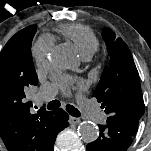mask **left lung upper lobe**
I'll return each mask as SVG.
<instances>
[{
    "mask_svg": "<svg viewBox=\"0 0 151 151\" xmlns=\"http://www.w3.org/2000/svg\"><path fill=\"white\" fill-rule=\"evenodd\" d=\"M102 36L110 61L93 96L108 114V124L134 136L145 109L139 74L126 43L110 28H104Z\"/></svg>",
    "mask_w": 151,
    "mask_h": 151,
    "instance_id": "obj_1",
    "label": "left lung upper lobe"
}]
</instances>
